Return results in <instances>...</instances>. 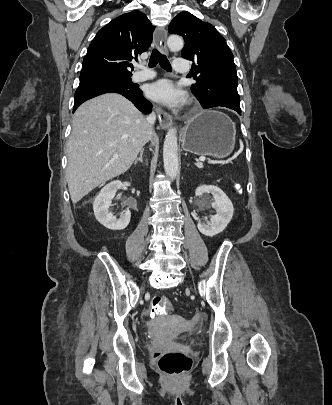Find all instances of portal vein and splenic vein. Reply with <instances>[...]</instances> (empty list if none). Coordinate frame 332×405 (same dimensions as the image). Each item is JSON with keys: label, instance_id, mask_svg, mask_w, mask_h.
Masks as SVG:
<instances>
[{"label": "portal vein and splenic vein", "instance_id": "1", "mask_svg": "<svg viewBox=\"0 0 332 405\" xmlns=\"http://www.w3.org/2000/svg\"><path fill=\"white\" fill-rule=\"evenodd\" d=\"M115 156H117V155H115ZM205 160H206V159H205L204 157L199 158V159L197 160L196 166H197L198 168H202V167H203V163H202V162H204ZM212 163H215V162H212Z\"/></svg>", "mask_w": 332, "mask_h": 405}]
</instances>
